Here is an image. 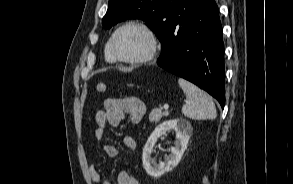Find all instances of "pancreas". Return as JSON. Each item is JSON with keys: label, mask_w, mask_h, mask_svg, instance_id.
<instances>
[{"label": "pancreas", "mask_w": 293, "mask_h": 184, "mask_svg": "<svg viewBox=\"0 0 293 184\" xmlns=\"http://www.w3.org/2000/svg\"><path fill=\"white\" fill-rule=\"evenodd\" d=\"M164 116H168V112H162L161 109H153L149 114L151 123H158Z\"/></svg>", "instance_id": "1"}]
</instances>
